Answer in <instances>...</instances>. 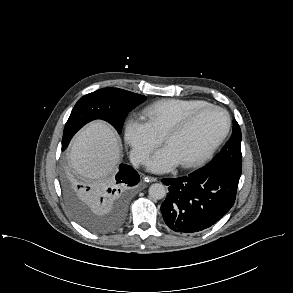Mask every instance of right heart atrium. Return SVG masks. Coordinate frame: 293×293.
Segmentation results:
<instances>
[{"label": "right heart atrium", "instance_id": "d8ad5b80", "mask_svg": "<svg viewBox=\"0 0 293 293\" xmlns=\"http://www.w3.org/2000/svg\"><path fill=\"white\" fill-rule=\"evenodd\" d=\"M124 139L131 149L134 163L143 162L162 142V137L141 116L131 115L124 124Z\"/></svg>", "mask_w": 293, "mask_h": 293}]
</instances>
